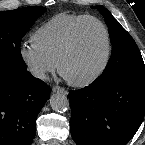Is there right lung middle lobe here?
Listing matches in <instances>:
<instances>
[{
  "mask_svg": "<svg viewBox=\"0 0 145 145\" xmlns=\"http://www.w3.org/2000/svg\"><path fill=\"white\" fill-rule=\"evenodd\" d=\"M45 11V7L31 6L0 12V79L20 76L27 71L20 43Z\"/></svg>",
  "mask_w": 145,
  "mask_h": 145,
  "instance_id": "1",
  "label": "right lung middle lobe"
}]
</instances>
